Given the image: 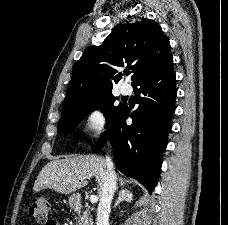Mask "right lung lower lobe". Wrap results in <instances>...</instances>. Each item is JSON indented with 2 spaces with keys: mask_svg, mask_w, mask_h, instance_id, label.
<instances>
[{
  "mask_svg": "<svg viewBox=\"0 0 228 225\" xmlns=\"http://www.w3.org/2000/svg\"><path fill=\"white\" fill-rule=\"evenodd\" d=\"M176 75L170 54L158 66L144 74L134 85L138 108L130 114L124 106L94 150L109 139L115 152L116 167L138 180L151 193L157 184L162 164L161 154L167 145L171 117L175 111ZM128 117L133 123L126 124Z\"/></svg>",
  "mask_w": 228,
  "mask_h": 225,
  "instance_id": "1",
  "label": "right lung lower lobe"
}]
</instances>
